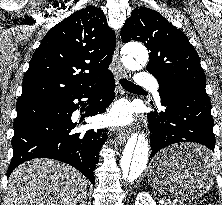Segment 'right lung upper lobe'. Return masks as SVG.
I'll return each mask as SVG.
<instances>
[{
	"label": "right lung upper lobe",
	"instance_id": "cb5924a9",
	"mask_svg": "<svg viewBox=\"0 0 222 205\" xmlns=\"http://www.w3.org/2000/svg\"><path fill=\"white\" fill-rule=\"evenodd\" d=\"M113 35L106 16L94 6L55 25L32 56L18 101L69 97L110 75Z\"/></svg>",
	"mask_w": 222,
	"mask_h": 205
}]
</instances>
